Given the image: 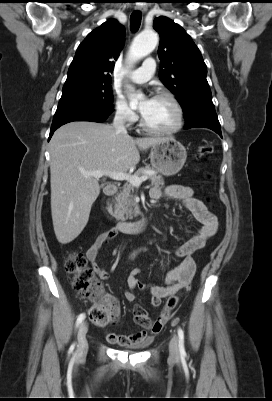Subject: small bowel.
<instances>
[{"instance_id": "obj_1", "label": "small bowel", "mask_w": 272, "mask_h": 401, "mask_svg": "<svg viewBox=\"0 0 272 401\" xmlns=\"http://www.w3.org/2000/svg\"><path fill=\"white\" fill-rule=\"evenodd\" d=\"M151 196L153 198L165 196L179 199L181 202V208L188 212L200 223V227L196 234L176 250V256L182 259L180 265L169 270L165 274L163 285L149 286L148 290L151 296V305L153 307H158L163 298L176 293L191 283L196 270V262L193 255L203 248L208 239L216 233L218 228V220L217 217L207 208V206L200 199L194 196V191L191 187L170 185L164 190L153 188L151 190ZM118 232L119 231L117 228H111L100 233L86 251L87 259L102 279L108 278L109 274L97 262L99 253L118 235ZM146 252V247H139L129 254L128 260L132 261ZM140 273L141 268L137 267L132 269L127 277V286L129 290L125 291L124 297L128 302H134L136 299L134 291L136 289L143 288V284L138 279V275ZM104 298L112 308L113 322L117 321L120 316V304L118 299L111 294H106ZM138 307H136L135 310ZM136 323L138 322L136 321ZM163 324H153L150 327L139 324L144 328V330L129 335L108 333L107 339L111 344L119 346L147 343L150 341V335H156L161 331Z\"/></svg>"}]
</instances>
